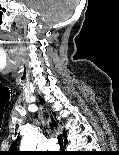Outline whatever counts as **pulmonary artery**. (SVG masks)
<instances>
[{
	"label": "pulmonary artery",
	"instance_id": "pulmonary-artery-1",
	"mask_svg": "<svg viewBox=\"0 0 119 155\" xmlns=\"http://www.w3.org/2000/svg\"><path fill=\"white\" fill-rule=\"evenodd\" d=\"M54 144H55V141L54 140H50V145H51V146H49L50 150H56L57 149V147Z\"/></svg>",
	"mask_w": 119,
	"mask_h": 155
}]
</instances>
